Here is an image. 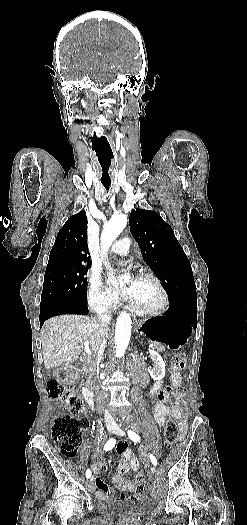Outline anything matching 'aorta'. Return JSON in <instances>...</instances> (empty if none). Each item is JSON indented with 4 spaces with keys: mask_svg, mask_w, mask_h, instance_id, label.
<instances>
[{
    "mask_svg": "<svg viewBox=\"0 0 247 525\" xmlns=\"http://www.w3.org/2000/svg\"><path fill=\"white\" fill-rule=\"evenodd\" d=\"M127 224V217L124 214L113 216L108 223L105 224L101 234V247L103 253H106L123 231ZM126 276H120V284L124 282ZM131 317L127 313H122L118 316L115 331V355L116 357H123L130 341L131 335Z\"/></svg>",
    "mask_w": 247,
    "mask_h": 525,
    "instance_id": "762f6f07",
    "label": "aorta"
}]
</instances>
